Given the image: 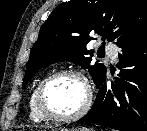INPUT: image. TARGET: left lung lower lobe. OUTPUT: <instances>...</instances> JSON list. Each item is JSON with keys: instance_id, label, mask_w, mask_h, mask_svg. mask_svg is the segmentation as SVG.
Segmentation results:
<instances>
[{"instance_id": "left-lung-lower-lobe-1", "label": "left lung lower lobe", "mask_w": 147, "mask_h": 131, "mask_svg": "<svg viewBox=\"0 0 147 131\" xmlns=\"http://www.w3.org/2000/svg\"><path fill=\"white\" fill-rule=\"evenodd\" d=\"M119 77L100 85L91 110L79 121L119 131H147V29L121 47Z\"/></svg>"}]
</instances>
